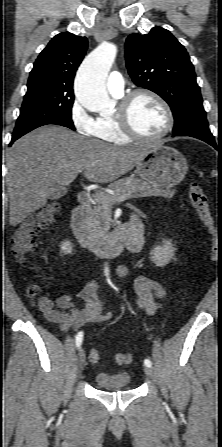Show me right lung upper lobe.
<instances>
[{"mask_svg":"<svg viewBox=\"0 0 222 447\" xmlns=\"http://www.w3.org/2000/svg\"><path fill=\"white\" fill-rule=\"evenodd\" d=\"M87 45L86 37L67 32L56 35L35 61L28 88L47 85L60 92L73 93L74 76Z\"/></svg>","mask_w":222,"mask_h":447,"instance_id":"1","label":"right lung upper lobe"}]
</instances>
